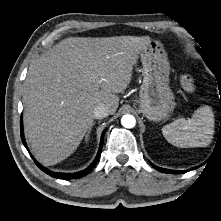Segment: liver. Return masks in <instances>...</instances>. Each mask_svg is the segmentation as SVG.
Here are the masks:
<instances>
[{"mask_svg":"<svg viewBox=\"0 0 221 221\" xmlns=\"http://www.w3.org/2000/svg\"><path fill=\"white\" fill-rule=\"evenodd\" d=\"M149 37H70L30 65L23 90L24 129L35 158L55 165L78 148L105 104L113 115Z\"/></svg>","mask_w":221,"mask_h":221,"instance_id":"1","label":"liver"}]
</instances>
